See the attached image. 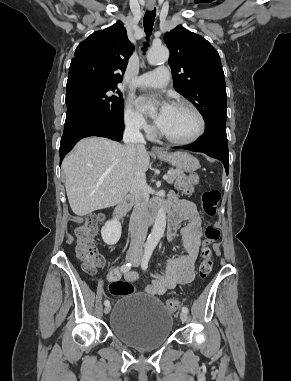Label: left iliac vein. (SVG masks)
<instances>
[{"mask_svg": "<svg viewBox=\"0 0 291 381\" xmlns=\"http://www.w3.org/2000/svg\"><path fill=\"white\" fill-rule=\"evenodd\" d=\"M140 260H141V257L138 256V257L136 258V260L134 261V266H139V264H140ZM180 319H181L182 322H186L187 319H188V315H187V313H185V312H181V313H180Z\"/></svg>", "mask_w": 291, "mask_h": 381, "instance_id": "left-iliac-vein-1", "label": "left iliac vein"}]
</instances>
